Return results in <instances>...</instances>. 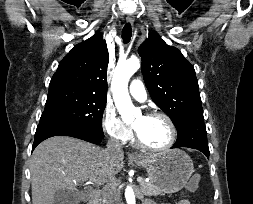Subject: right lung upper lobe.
I'll return each instance as SVG.
<instances>
[{
  "label": "right lung upper lobe",
  "mask_w": 253,
  "mask_h": 204,
  "mask_svg": "<svg viewBox=\"0 0 253 204\" xmlns=\"http://www.w3.org/2000/svg\"><path fill=\"white\" fill-rule=\"evenodd\" d=\"M109 54L105 40L96 32L74 46L60 62L50 86H69L106 98Z\"/></svg>",
  "instance_id": "1"
}]
</instances>
